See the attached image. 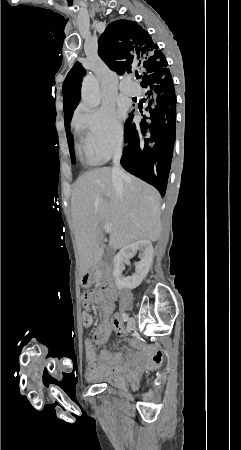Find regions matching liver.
<instances>
[{"instance_id": "obj_1", "label": "liver", "mask_w": 241, "mask_h": 450, "mask_svg": "<svg viewBox=\"0 0 241 450\" xmlns=\"http://www.w3.org/2000/svg\"><path fill=\"white\" fill-rule=\"evenodd\" d=\"M111 174V168L90 170L73 188L71 212L81 278L102 260L104 226L111 228L113 250L136 240L157 242L160 236L159 192L130 174H124L123 188L116 190Z\"/></svg>"}]
</instances>
